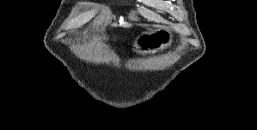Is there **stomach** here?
Returning <instances> with one entry per match:
<instances>
[{"instance_id": "0dacf381", "label": "stomach", "mask_w": 257, "mask_h": 130, "mask_svg": "<svg viewBox=\"0 0 257 130\" xmlns=\"http://www.w3.org/2000/svg\"><path fill=\"white\" fill-rule=\"evenodd\" d=\"M173 34L163 28L154 29L140 34L133 43V50L139 54L158 52L172 45Z\"/></svg>"}]
</instances>
